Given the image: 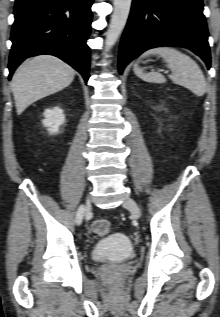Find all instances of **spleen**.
<instances>
[{
    "instance_id": "3e777b00",
    "label": "spleen",
    "mask_w": 220,
    "mask_h": 317,
    "mask_svg": "<svg viewBox=\"0 0 220 317\" xmlns=\"http://www.w3.org/2000/svg\"><path fill=\"white\" fill-rule=\"evenodd\" d=\"M147 55H159L163 58L166 66L172 71L169 78L173 83L186 87L197 96H202L206 92V80L202 70L197 63L188 55L172 47H157L149 50ZM134 73L146 82L164 83L165 77L157 72L146 73L134 65Z\"/></svg>"
}]
</instances>
